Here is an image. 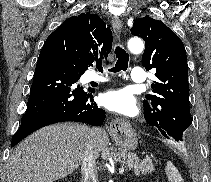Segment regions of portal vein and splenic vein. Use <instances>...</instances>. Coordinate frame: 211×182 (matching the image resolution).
<instances>
[{"mask_svg": "<svg viewBox=\"0 0 211 182\" xmlns=\"http://www.w3.org/2000/svg\"><path fill=\"white\" fill-rule=\"evenodd\" d=\"M119 173L123 174L124 173V168H119Z\"/></svg>", "mask_w": 211, "mask_h": 182, "instance_id": "18ae733b", "label": "portal vein and splenic vein"}]
</instances>
